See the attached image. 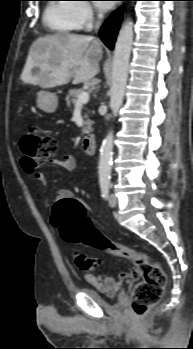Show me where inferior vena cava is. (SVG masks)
Returning a JSON list of instances; mask_svg holds the SVG:
<instances>
[{"instance_id":"inferior-vena-cava-1","label":"inferior vena cava","mask_w":193,"mask_h":349,"mask_svg":"<svg viewBox=\"0 0 193 349\" xmlns=\"http://www.w3.org/2000/svg\"><path fill=\"white\" fill-rule=\"evenodd\" d=\"M101 15H102V13H101V12H99V13H98V16L100 17ZM97 26H98V24H97Z\"/></svg>"}]
</instances>
